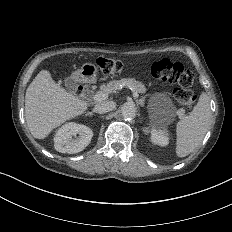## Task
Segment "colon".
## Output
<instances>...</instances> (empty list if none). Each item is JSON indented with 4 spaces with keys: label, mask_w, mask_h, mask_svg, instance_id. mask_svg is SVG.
<instances>
[{
    "label": "colon",
    "mask_w": 232,
    "mask_h": 232,
    "mask_svg": "<svg viewBox=\"0 0 232 232\" xmlns=\"http://www.w3.org/2000/svg\"><path fill=\"white\" fill-rule=\"evenodd\" d=\"M121 62L116 61V56H110V61H100L99 65L95 66L96 70H102L103 73H120ZM163 77H159V82H176L179 87L178 102L180 105H190L191 102H196L197 98L193 97L195 91H198V86H193L192 82L194 74H189L180 66L173 67L171 64H165L161 68ZM179 111H193V106H179Z\"/></svg>",
    "instance_id": "colon-1"
}]
</instances>
